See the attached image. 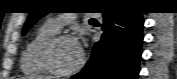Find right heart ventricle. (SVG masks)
Returning <instances> with one entry per match:
<instances>
[{"mask_svg": "<svg viewBox=\"0 0 177 79\" xmlns=\"http://www.w3.org/2000/svg\"><path fill=\"white\" fill-rule=\"evenodd\" d=\"M56 34L57 30L49 26L47 23L40 26L35 31L33 36L26 43L22 52L20 61L22 72L35 76H42L47 74V72L38 63L37 50L45 40Z\"/></svg>", "mask_w": 177, "mask_h": 79, "instance_id": "1", "label": "right heart ventricle"}]
</instances>
